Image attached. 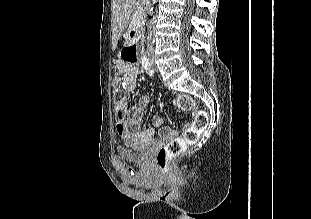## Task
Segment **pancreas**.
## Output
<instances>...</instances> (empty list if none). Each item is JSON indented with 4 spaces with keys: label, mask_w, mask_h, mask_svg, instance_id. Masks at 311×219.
<instances>
[{
    "label": "pancreas",
    "mask_w": 311,
    "mask_h": 219,
    "mask_svg": "<svg viewBox=\"0 0 311 219\" xmlns=\"http://www.w3.org/2000/svg\"><path fill=\"white\" fill-rule=\"evenodd\" d=\"M139 9V6H137L136 10ZM138 21H141V17L140 16H136L134 19H133V23L135 22H138Z\"/></svg>",
    "instance_id": "obj_1"
}]
</instances>
